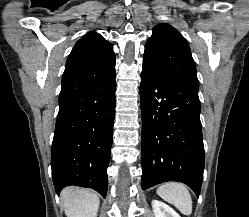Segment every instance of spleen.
Here are the masks:
<instances>
[{"label":"spleen","mask_w":249,"mask_h":217,"mask_svg":"<svg viewBox=\"0 0 249 217\" xmlns=\"http://www.w3.org/2000/svg\"><path fill=\"white\" fill-rule=\"evenodd\" d=\"M157 194L173 204L182 214L192 213V198L188 188L179 182H167L157 188Z\"/></svg>","instance_id":"spleen-1"}]
</instances>
